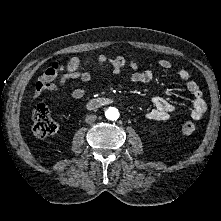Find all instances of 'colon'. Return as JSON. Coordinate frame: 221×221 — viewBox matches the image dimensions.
Returning a JSON list of instances; mask_svg holds the SVG:
<instances>
[{
	"mask_svg": "<svg viewBox=\"0 0 221 221\" xmlns=\"http://www.w3.org/2000/svg\"><path fill=\"white\" fill-rule=\"evenodd\" d=\"M96 64H109L112 68L122 69L129 65V62L124 57H116L114 59H106L104 56L97 58ZM80 59L74 57L68 60L65 65L58 62L51 64L41 75L37 84V89L40 91L54 90V81L59 77L63 70L75 72L81 67ZM32 131L38 138H43L53 135L57 131V123L50 115L48 109L44 105H38L31 114ZM179 132L184 136H191L195 132V124L190 119H185L178 124Z\"/></svg>",
	"mask_w": 221,
	"mask_h": 221,
	"instance_id": "obj_1",
	"label": "colon"
}]
</instances>
